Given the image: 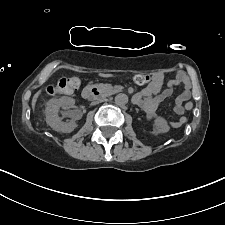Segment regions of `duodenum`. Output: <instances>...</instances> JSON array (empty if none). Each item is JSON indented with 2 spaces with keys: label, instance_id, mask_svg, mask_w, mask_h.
Returning a JSON list of instances; mask_svg holds the SVG:
<instances>
[{
  "label": "duodenum",
  "instance_id": "obj_1",
  "mask_svg": "<svg viewBox=\"0 0 225 225\" xmlns=\"http://www.w3.org/2000/svg\"><path fill=\"white\" fill-rule=\"evenodd\" d=\"M100 95V92L97 91L95 88L93 87H86L83 92H82V96L85 98V99H91V98H94L96 96Z\"/></svg>",
  "mask_w": 225,
  "mask_h": 225
}]
</instances>
